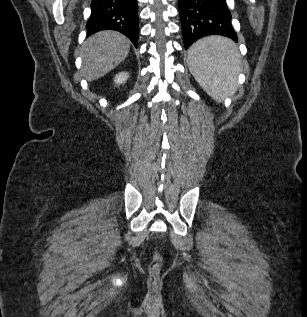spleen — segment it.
<instances>
[{"label":"spleen","instance_id":"obj_1","mask_svg":"<svg viewBox=\"0 0 307 317\" xmlns=\"http://www.w3.org/2000/svg\"><path fill=\"white\" fill-rule=\"evenodd\" d=\"M189 69L200 86L216 101L235 93L239 53L224 37L198 40L188 51Z\"/></svg>","mask_w":307,"mask_h":317}]
</instances>
